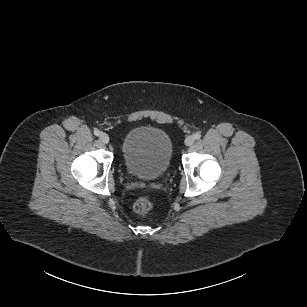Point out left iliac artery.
Here are the masks:
<instances>
[{"instance_id":"left-iliac-artery-1","label":"left iliac artery","mask_w":307,"mask_h":307,"mask_svg":"<svg viewBox=\"0 0 307 307\" xmlns=\"http://www.w3.org/2000/svg\"><path fill=\"white\" fill-rule=\"evenodd\" d=\"M194 138L196 140L200 139L201 138V134L199 132H197L195 135H194Z\"/></svg>"}]
</instances>
